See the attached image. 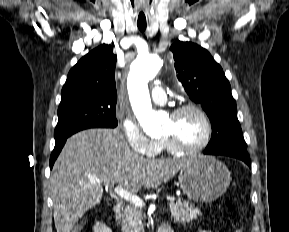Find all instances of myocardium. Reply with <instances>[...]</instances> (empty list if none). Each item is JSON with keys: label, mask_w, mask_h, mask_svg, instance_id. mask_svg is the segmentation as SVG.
<instances>
[{"label": "myocardium", "mask_w": 289, "mask_h": 232, "mask_svg": "<svg viewBox=\"0 0 289 232\" xmlns=\"http://www.w3.org/2000/svg\"><path fill=\"white\" fill-rule=\"evenodd\" d=\"M187 111H194L201 117L205 125V136L200 143L193 145V146H183L171 138L163 137L162 140L165 143L167 149L173 153H178V154L197 153L203 150L210 143L212 139L213 127H212L211 120L209 116L207 115V113L205 112V110L201 108L200 106L196 104H192V103L178 106L171 112L170 117L176 118L180 116L182 113L187 112Z\"/></svg>", "instance_id": "obj_1"}]
</instances>
